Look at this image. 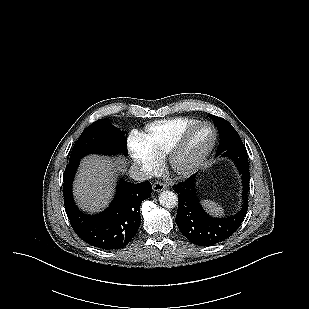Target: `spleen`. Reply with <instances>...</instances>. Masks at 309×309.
<instances>
[{
	"instance_id": "1",
	"label": "spleen",
	"mask_w": 309,
	"mask_h": 309,
	"mask_svg": "<svg viewBox=\"0 0 309 309\" xmlns=\"http://www.w3.org/2000/svg\"><path fill=\"white\" fill-rule=\"evenodd\" d=\"M202 203L208 209V211L211 212L213 215L220 216L223 214L222 207L217 203L210 200H204Z\"/></svg>"
}]
</instances>
